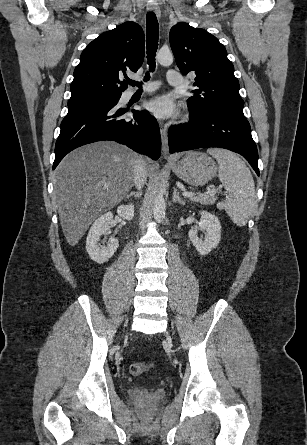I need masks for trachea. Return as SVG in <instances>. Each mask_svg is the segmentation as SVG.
Returning a JSON list of instances; mask_svg holds the SVG:
<instances>
[{
    "instance_id": "trachea-1",
    "label": "trachea",
    "mask_w": 307,
    "mask_h": 445,
    "mask_svg": "<svg viewBox=\"0 0 307 445\" xmlns=\"http://www.w3.org/2000/svg\"><path fill=\"white\" fill-rule=\"evenodd\" d=\"M159 39V25L155 13L148 12L146 16V48H147V59L148 65L151 72L155 70V55L158 47ZM149 72L146 73L144 81L149 80ZM126 83L132 85V87L141 88V83L135 82V80H127Z\"/></svg>"
}]
</instances>
